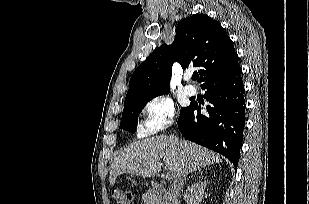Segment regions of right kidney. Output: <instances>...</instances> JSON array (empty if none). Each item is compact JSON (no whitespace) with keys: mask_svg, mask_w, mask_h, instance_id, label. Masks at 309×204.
<instances>
[{"mask_svg":"<svg viewBox=\"0 0 309 204\" xmlns=\"http://www.w3.org/2000/svg\"><path fill=\"white\" fill-rule=\"evenodd\" d=\"M206 188V183H194L191 185V187H188L184 194V200L187 204H200L203 195H204V190Z\"/></svg>","mask_w":309,"mask_h":204,"instance_id":"obj_1","label":"right kidney"}]
</instances>
